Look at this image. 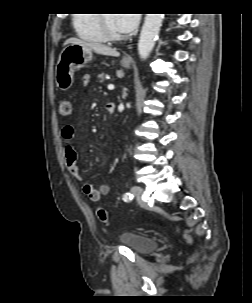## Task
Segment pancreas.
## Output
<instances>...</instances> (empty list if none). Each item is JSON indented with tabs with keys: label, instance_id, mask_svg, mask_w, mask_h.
<instances>
[{
	"label": "pancreas",
	"instance_id": "1",
	"mask_svg": "<svg viewBox=\"0 0 252 303\" xmlns=\"http://www.w3.org/2000/svg\"><path fill=\"white\" fill-rule=\"evenodd\" d=\"M105 77H106L105 73H100L98 75V79H99L100 82H104L105 81Z\"/></svg>",
	"mask_w": 252,
	"mask_h": 303
}]
</instances>
